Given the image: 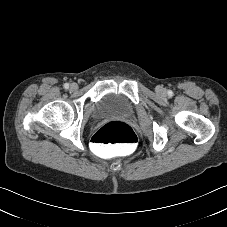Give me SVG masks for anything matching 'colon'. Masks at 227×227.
<instances>
[{
	"instance_id": "5ec220e1",
	"label": "colon",
	"mask_w": 227,
	"mask_h": 227,
	"mask_svg": "<svg viewBox=\"0 0 227 227\" xmlns=\"http://www.w3.org/2000/svg\"><path fill=\"white\" fill-rule=\"evenodd\" d=\"M136 142L132 128L121 122L105 124L92 137V147L99 154L130 151Z\"/></svg>"
}]
</instances>
